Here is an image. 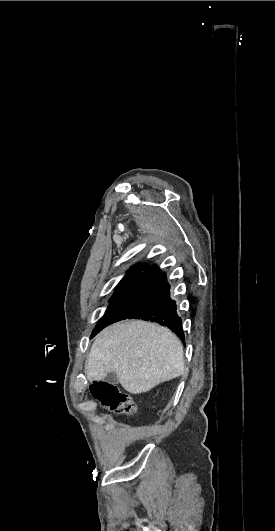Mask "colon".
<instances>
[{
  "mask_svg": "<svg viewBox=\"0 0 275 531\" xmlns=\"http://www.w3.org/2000/svg\"><path fill=\"white\" fill-rule=\"evenodd\" d=\"M92 396L100 400V404L114 413L132 415L136 412V406L131 396L123 392L114 383L100 380L89 387Z\"/></svg>",
  "mask_w": 275,
  "mask_h": 531,
  "instance_id": "1",
  "label": "colon"
}]
</instances>
